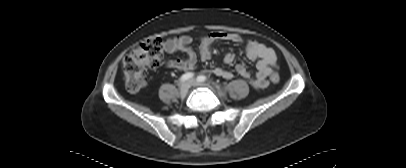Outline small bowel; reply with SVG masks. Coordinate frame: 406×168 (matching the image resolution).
Listing matches in <instances>:
<instances>
[{"instance_id": "c3829d8e", "label": "small bowel", "mask_w": 406, "mask_h": 168, "mask_svg": "<svg viewBox=\"0 0 406 168\" xmlns=\"http://www.w3.org/2000/svg\"><path fill=\"white\" fill-rule=\"evenodd\" d=\"M215 41H228L235 44L243 43L242 37L236 33L217 31L200 36L198 54L201 59L208 60L211 57V45ZM192 43L193 38L189 35L167 39L164 44L165 51L169 54L182 52L186 55V58L168 60L166 65L180 71L194 69L197 64L198 54L191 47ZM245 47L247 58L251 61H257L256 75L252 78L246 66L240 62L236 64L235 69L238 74L249 81L252 87L257 90H263L268 86V77L272 70L277 67V56L272 48L257 40H248ZM223 61L225 64H232L235 61V56L232 53H226ZM212 72L224 79H231L233 77L231 71L222 67H216Z\"/></svg>"}]
</instances>
